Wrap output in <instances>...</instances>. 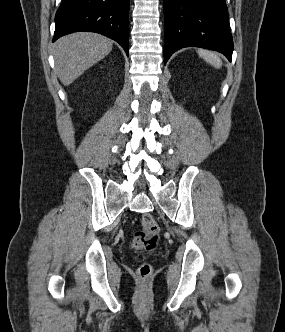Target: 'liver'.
Masks as SVG:
<instances>
[{
	"instance_id": "6515ba94",
	"label": "liver",
	"mask_w": 285,
	"mask_h": 332,
	"mask_svg": "<svg viewBox=\"0 0 285 332\" xmlns=\"http://www.w3.org/2000/svg\"><path fill=\"white\" fill-rule=\"evenodd\" d=\"M112 46L109 38L97 33L79 32L61 37L53 47L58 78L63 85H70L84 71L107 56Z\"/></svg>"
}]
</instances>
